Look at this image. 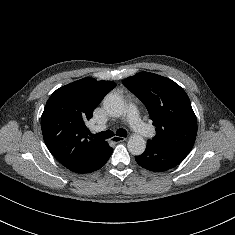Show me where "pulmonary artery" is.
Listing matches in <instances>:
<instances>
[{
  "mask_svg": "<svg viewBox=\"0 0 235 235\" xmlns=\"http://www.w3.org/2000/svg\"><path fill=\"white\" fill-rule=\"evenodd\" d=\"M126 120L131 128L140 135H145L148 132V127L141 121L135 105L129 104L125 110ZM106 126H98L95 130H102Z\"/></svg>",
  "mask_w": 235,
  "mask_h": 235,
  "instance_id": "pulmonary-artery-1",
  "label": "pulmonary artery"
}]
</instances>
